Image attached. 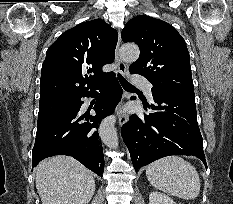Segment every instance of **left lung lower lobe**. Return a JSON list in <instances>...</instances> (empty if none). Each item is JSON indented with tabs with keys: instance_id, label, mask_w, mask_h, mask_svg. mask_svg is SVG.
I'll list each match as a JSON object with an SVG mask.
<instances>
[{
	"instance_id": "left-lung-lower-lobe-1",
	"label": "left lung lower lobe",
	"mask_w": 233,
	"mask_h": 204,
	"mask_svg": "<svg viewBox=\"0 0 233 204\" xmlns=\"http://www.w3.org/2000/svg\"><path fill=\"white\" fill-rule=\"evenodd\" d=\"M152 95L155 104L148 108L154 112L144 113V116L131 115L121 130L135 171L169 155H194L207 167L195 97L172 93Z\"/></svg>"
}]
</instances>
